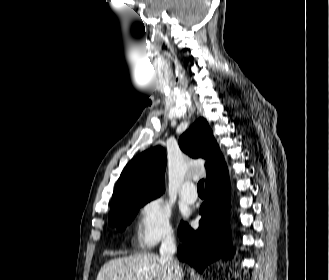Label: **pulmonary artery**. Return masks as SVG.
Segmentation results:
<instances>
[{
	"instance_id": "pulmonary-artery-1",
	"label": "pulmonary artery",
	"mask_w": 329,
	"mask_h": 280,
	"mask_svg": "<svg viewBox=\"0 0 329 280\" xmlns=\"http://www.w3.org/2000/svg\"><path fill=\"white\" fill-rule=\"evenodd\" d=\"M180 196L187 203H195L198 198L195 185L192 182L185 183L180 190Z\"/></svg>"
}]
</instances>
